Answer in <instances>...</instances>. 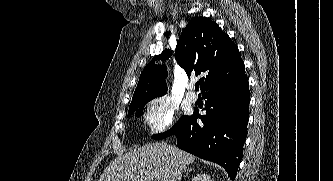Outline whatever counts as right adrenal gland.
Segmentation results:
<instances>
[{
	"label": "right adrenal gland",
	"instance_id": "right-adrenal-gland-1",
	"mask_svg": "<svg viewBox=\"0 0 333 181\" xmlns=\"http://www.w3.org/2000/svg\"><path fill=\"white\" fill-rule=\"evenodd\" d=\"M192 170H194V168H185L184 169L185 176H187L189 174V172H191ZM179 181H181V180H179Z\"/></svg>",
	"mask_w": 333,
	"mask_h": 181
}]
</instances>
